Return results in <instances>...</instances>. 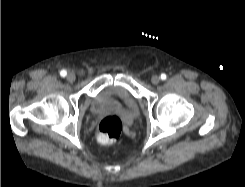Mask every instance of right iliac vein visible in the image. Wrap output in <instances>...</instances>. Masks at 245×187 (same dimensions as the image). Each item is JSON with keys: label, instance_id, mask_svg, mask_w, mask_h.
I'll use <instances>...</instances> for the list:
<instances>
[{"label": "right iliac vein", "instance_id": "1", "mask_svg": "<svg viewBox=\"0 0 245 187\" xmlns=\"http://www.w3.org/2000/svg\"><path fill=\"white\" fill-rule=\"evenodd\" d=\"M68 82H74L76 80V75L73 72L68 73L67 75Z\"/></svg>", "mask_w": 245, "mask_h": 187}]
</instances>
